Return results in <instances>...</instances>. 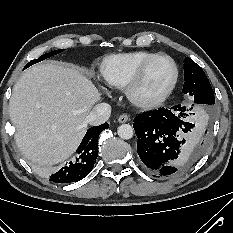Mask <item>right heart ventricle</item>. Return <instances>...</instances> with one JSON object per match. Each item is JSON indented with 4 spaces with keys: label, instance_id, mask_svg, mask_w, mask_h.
<instances>
[{
    "label": "right heart ventricle",
    "instance_id": "right-heart-ventricle-1",
    "mask_svg": "<svg viewBox=\"0 0 233 233\" xmlns=\"http://www.w3.org/2000/svg\"><path fill=\"white\" fill-rule=\"evenodd\" d=\"M157 55L149 51H135L106 57L101 65V76L110 88L123 89L136 70L148 59Z\"/></svg>",
    "mask_w": 233,
    "mask_h": 233
}]
</instances>
